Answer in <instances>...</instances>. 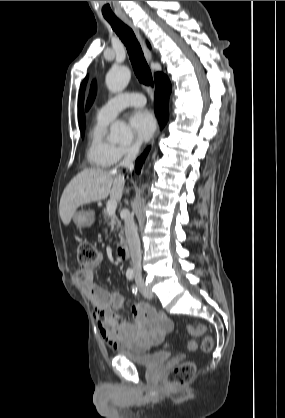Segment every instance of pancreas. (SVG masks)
Here are the masks:
<instances>
[{
  "label": "pancreas",
  "mask_w": 285,
  "mask_h": 418,
  "mask_svg": "<svg viewBox=\"0 0 285 418\" xmlns=\"http://www.w3.org/2000/svg\"><path fill=\"white\" fill-rule=\"evenodd\" d=\"M103 215H104L105 220L107 221L108 226H110V231L111 232L119 231L118 237L120 239V244H122L123 232H122V226H121L120 221H118L114 215L109 216L106 209L103 210ZM109 217H110V222H108Z\"/></svg>",
  "instance_id": "1"
}]
</instances>
